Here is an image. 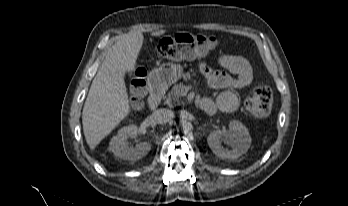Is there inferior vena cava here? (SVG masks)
<instances>
[{"instance_id": "602c4592", "label": "inferior vena cava", "mask_w": 348, "mask_h": 206, "mask_svg": "<svg viewBox=\"0 0 348 206\" xmlns=\"http://www.w3.org/2000/svg\"><path fill=\"white\" fill-rule=\"evenodd\" d=\"M154 120L159 124L170 122L174 118V113L170 109L160 108L153 113Z\"/></svg>"}]
</instances>
